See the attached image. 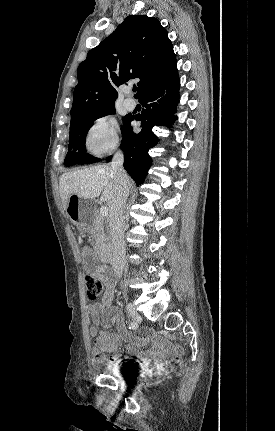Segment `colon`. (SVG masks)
I'll list each match as a JSON object with an SVG mask.
<instances>
[{
  "instance_id": "obj_1",
  "label": "colon",
  "mask_w": 275,
  "mask_h": 431,
  "mask_svg": "<svg viewBox=\"0 0 275 431\" xmlns=\"http://www.w3.org/2000/svg\"><path fill=\"white\" fill-rule=\"evenodd\" d=\"M87 296L90 300H97L104 291L103 282L94 274L90 273L85 276Z\"/></svg>"
}]
</instances>
